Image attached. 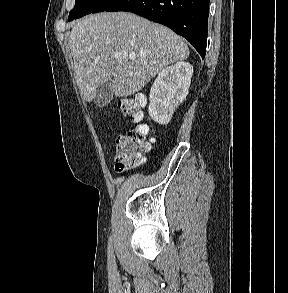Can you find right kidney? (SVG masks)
Returning <instances> with one entry per match:
<instances>
[{"mask_svg":"<svg viewBox=\"0 0 288 293\" xmlns=\"http://www.w3.org/2000/svg\"><path fill=\"white\" fill-rule=\"evenodd\" d=\"M193 67L178 62L159 72L149 95V115L159 124H167L175 108L184 101L191 83Z\"/></svg>","mask_w":288,"mask_h":293,"instance_id":"obj_1","label":"right kidney"}]
</instances>
